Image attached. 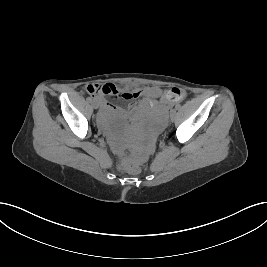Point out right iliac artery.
<instances>
[{
    "instance_id": "1",
    "label": "right iliac artery",
    "mask_w": 267,
    "mask_h": 267,
    "mask_svg": "<svg viewBox=\"0 0 267 267\" xmlns=\"http://www.w3.org/2000/svg\"><path fill=\"white\" fill-rule=\"evenodd\" d=\"M88 102H92V98L91 97H87L86 99Z\"/></svg>"
}]
</instances>
